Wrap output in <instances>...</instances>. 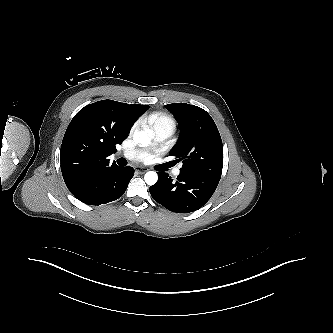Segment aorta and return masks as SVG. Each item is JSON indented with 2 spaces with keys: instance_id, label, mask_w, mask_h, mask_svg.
I'll use <instances>...</instances> for the list:
<instances>
[{
  "instance_id": "aorta-1",
  "label": "aorta",
  "mask_w": 333,
  "mask_h": 333,
  "mask_svg": "<svg viewBox=\"0 0 333 333\" xmlns=\"http://www.w3.org/2000/svg\"><path fill=\"white\" fill-rule=\"evenodd\" d=\"M152 136L153 132L135 130L133 139L137 144L146 146L150 143ZM144 180L148 185H154L158 180V175L154 171H149L145 174Z\"/></svg>"
}]
</instances>
